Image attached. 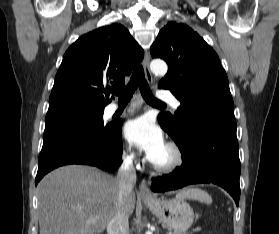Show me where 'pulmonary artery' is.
Listing matches in <instances>:
<instances>
[{"instance_id":"1","label":"pulmonary artery","mask_w":279,"mask_h":234,"mask_svg":"<svg viewBox=\"0 0 279 234\" xmlns=\"http://www.w3.org/2000/svg\"><path fill=\"white\" fill-rule=\"evenodd\" d=\"M158 98L163 101H167L174 109H178L180 107V101L172 94L165 93L164 91H160L158 94ZM119 110L118 105L110 104L107 107V114L112 115Z\"/></svg>"}]
</instances>
